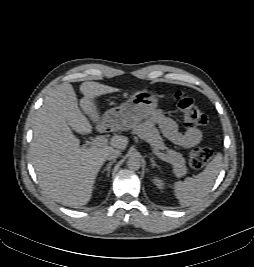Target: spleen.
Here are the masks:
<instances>
[{
    "label": "spleen",
    "mask_w": 254,
    "mask_h": 267,
    "mask_svg": "<svg viewBox=\"0 0 254 267\" xmlns=\"http://www.w3.org/2000/svg\"><path fill=\"white\" fill-rule=\"evenodd\" d=\"M222 162L223 157L218 153L197 176L187 177L184 181L174 183V194L182 207L195 204L207 196L221 171Z\"/></svg>",
    "instance_id": "spleen-1"
}]
</instances>
